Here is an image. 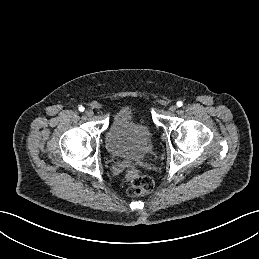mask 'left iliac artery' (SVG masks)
Here are the masks:
<instances>
[{"label": "left iliac artery", "instance_id": "1", "mask_svg": "<svg viewBox=\"0 0 259 259\" xmlns=\"http://www.w3.org/2000/svg\"><path fill=\"white\" fill-rule=\"evenodd\" d=\"M177 106H178V107L183 106V102H182V101H178V102H177Z\"/></svg>", "mask_w": 259, "mask_h": 259}]
</instances>
